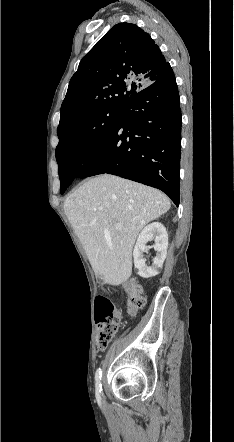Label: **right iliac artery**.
I'll return each mask as SVG.
<instances>
[{
    "mask_svg": "<svg viewBox=\"0 0 234 442\" xmlns=\"http://www.w3.org/2000/svg\"><path fill=\"white\" fill-rule=\"evenodd\" d=\"M102 371L101 369H97L95 373V387H96V397L98 402L101 401V393H102V384H101Z\"/></svg>",
    "mask_w": 234,
    "mask_h": 442,
    "instance_id": "82829eb1",
    "label": "right iliac artery"
}]
</instances>
